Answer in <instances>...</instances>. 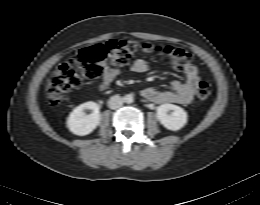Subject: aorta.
<instances>
[{"label": "aorta", "instance_id": "762f6f07", "mask_svg": "<svg viewBox=\"0 0 260 205\" xmlns=\"http://www.w3.org/2000/svg\"><path fill=\"white\" fill-rule=\"evenodd\" d=\"M124 102L130 104L133 102V96L132 94H127L125 97H124Z\"/></svg>", "mask_w": 260, "mask_h": 205}]
</instances>
